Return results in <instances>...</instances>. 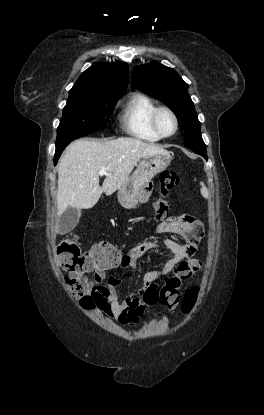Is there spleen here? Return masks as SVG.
<instances>
[{"label":"spleen","instance_id":"obj_1","mask_svg":"<svg viewBox=\"0 0 264 415\" xmlns=\"http://www.w3.org/2000/svg\"><path fill=\"white\" fill-rule=\"evenodd\" d=\"M200 184H201V190H200L201 194L204 198L207 199L209 197L208 189H207V187L205 186V184L203 182H201Z\"/></svg>","mask_w":264,"mask_h":415}]
</instances>
